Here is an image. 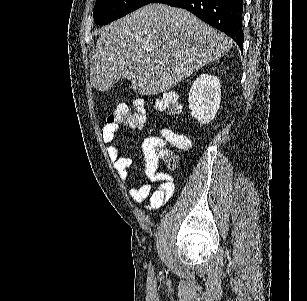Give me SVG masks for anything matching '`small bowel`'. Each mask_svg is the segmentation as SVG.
<instances>
[{
    "mask_svg": "<svg viewBox=\"0 0 307 301\" xmlns=\"http://www.w3.org/2000/svg\"><path fill=\"white\" fill-rule=\"evenodd\" d=\"M118 125L106 123L101 131V137L105 143L111 144L108 148V155L114 164V168L120 179L126 184L129 177V168L132 159L121 154L120 148L113 144L116 137ZM164 145L160 136H148L143 140L142 153L145 160V174L149 182L156 183L152 188L150 184H143L129 190V197L135 203L145 200L144 210L150 212L160 209L166 205L175 193L174 178L167 173L158 171L159 157L157 150Z\"/></svg>",
    "mask_w": 307,
    "mask_h": 301,
    "instance_id": "obj_1",
    "label": "small bowel"
}]
</instances>
